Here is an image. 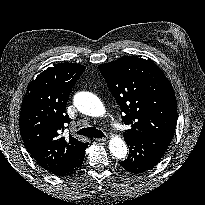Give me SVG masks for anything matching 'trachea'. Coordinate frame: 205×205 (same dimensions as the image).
Returning <instances> with one entry per match:
<instances>
[{"label":"trachea","mask_w":205,"mask_h":205,"mask_svg":"<svg viewBox=\"0 0 205 205\" xmlns=\"http://www.w3.org/2000/svg\"><path fill=\"white\" fill-rule=\"evenodd\" d=\"M79 135L94 137V138H102L105 137L104 133L94 127H86L82 128L77 132Z\"/></svg>","instance_id":"obj_1"}]
</instances>
